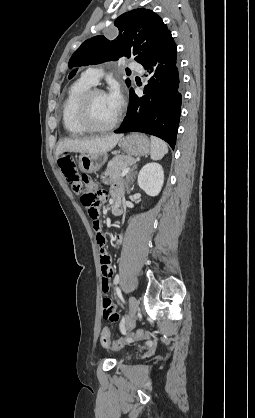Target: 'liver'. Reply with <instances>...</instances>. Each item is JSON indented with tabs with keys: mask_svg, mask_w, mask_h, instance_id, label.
<instances>
[{
	"mask_svg": "<svg viewBox=\"0 0 255 418\" xmlns=\"http://www.w3.org/2000/svg\"><path fill=\"white\" fill-rule=\"evenodd\" d=\"M122 136V134H110L89 139H65L58 144L55 156L59 159L64 152L107 153L117 145Z\"/></svg>",
	"mask_w": 255,
	"mask_h": 418,
	"instance_id": "liver-1",
	"label": "liver"
}]
</instances>
